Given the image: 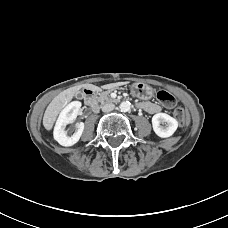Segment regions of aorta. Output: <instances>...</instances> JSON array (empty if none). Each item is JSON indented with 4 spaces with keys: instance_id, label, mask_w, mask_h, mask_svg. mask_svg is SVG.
<instances>
[{
    "instance_id": "obj_1",
    "label": "aorta",
    "mask_w": 228,
    "mask_h": 228,
    "mask_svg": "<svg viewBox=\"0 0 228 228\" xmlns=\"http://www.w3.org/2000/svg\"><path fill=\"white\" fill-rule=\"evenodd\" d=\"M130 108H131V103L129 101H123V102H121V104H120V110L122 112H128V111H130Z\"/></svg>"
}]
</instances>
